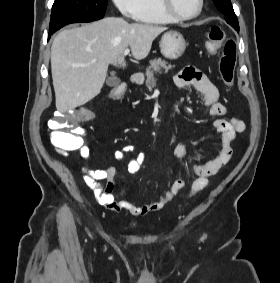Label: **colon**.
Wrapping results in <instances>:
<instances>
[{
	"mask_svg": "<svg viewBox=\"0 0 280 283\" xmlns=\"http://www.w3.org/2000/svg\"><path fill=\"white\" fill-rule=\"evenodd\" d=\"M223 46L222 55L219 60V73L222 81L232 86L234 82V72L236 66L237 45L232 39L225 40L224 31L219 26H213L208 33L205 43L207 52L214 55ZM110 97L119 99L126 92V87H109ZM96 119L94 111L79 110H55L52 119L48 121L50 130V140L56 150L71 152L81 146V138L75 132H86V127H64L67 125H77L80 120Z\"/></svg>",
	"mask_w": 280,
	"mask_h": 283,
	"instance_id": "5ec220e1",
	"label": "colon"
}]
</instances>
